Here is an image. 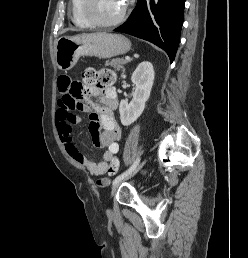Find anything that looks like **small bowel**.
I'll list each match as a JSON object with an SVG mask.
<instances>
[{
	"mask_svg": "<svg viewBox=\"0 0 248 258\" xmlns=\"http://www.w3.org/2000/svg\"><path fill=\"white\" fill-rule=\"evenodd\" d=\"M70 78L62 77L58 80L60 98L57 102L56 127L61 142L65 146L67 154L78 164L85 166L93 176H103L107 173L111 161L119 152V140L121 128L118 125L114 112L118 106V98L115 88L110 86H92L86 88L88 96L98 98V102L90 100L82 101L71 91ZM74 110L90 113L89 130L92 143L95 147L106 148L99 159L86 156L77 148L72 138L73 126L81 122L80 116ZM100 129L102 131H100ZM102 190L111 186L109 179H100Z\"/></svg>",
	"mask_w": 248,
	"mask_h": 258,
	"instance_id": "obj_1",
	"label": "small bowel"
}]
</instances>
